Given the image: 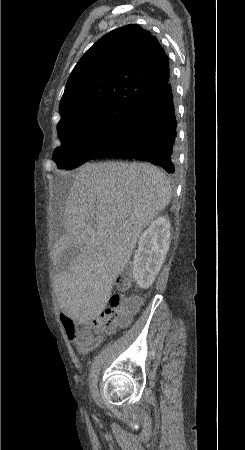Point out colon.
Segmentation results:
<instances>
[{
	"instance_id": "obj_1",
	"label": "colon",
	"mask_w": 245,
	"mask_h": 450,
	"mask_svg": "<svg viewBox=\"0 0 245 450\" xmlns=\"http://www.w3.org/2000/svg\"><path fill=\"white\" fill-rule=\"evenodd\" d=\"M132 276L129 273L120 275L116 280L117 294L111 296L108 306L90 321H75L65 316L62 319L64 331L68 337L76 336L80 341L87 342L92 338V331L113 332L116 328L126 327L132 316L139 310V297L126 298L123 292L131 286Z\"/></svg>"
}]
</instances>
